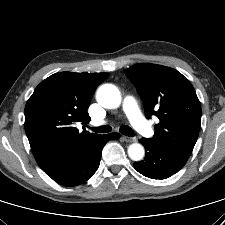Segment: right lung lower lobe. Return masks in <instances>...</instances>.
Listing matches in <instances>:
<instances>
[{"instance_id": "1", "label": "right lung lower lobe", "mask_w": 225, "mask_h": 225, "mask_svg": "<svg viewBox=\"0 0 225 225\" xmlns=\"http://www.w3.org/2000/svg\"><path fill=\"white\" fill-rule=\"evenodd\" d=\"M119 137V133L97 135L81 143L63 146L38 165L49 177L63 186L82 184L98 169L104 145Z\"/></svg>"}]
</instances>
